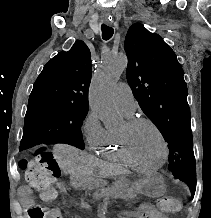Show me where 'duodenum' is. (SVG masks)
Instances as JSON below:
<instances>
[{
    "mask_svg": "<svg viewBox=\"0 0 211 218\" xmlns=\"http://www.w3.org/2000/svg\"><path fill=\"white\" fill-rule=\"evenodd\" d=\"M120 215L123 216V217H129V218L134 217V218H136V212L135 211H124V212H121Z\"/></svg>",
    "mask_w": 211,
    "mask_h": 218,
    "instance_id": "1",
    "label": "duodenum"
}]
</instances>
